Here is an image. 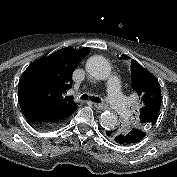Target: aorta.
Here are the masks:
<instances>
[{"mask_svg": "<svg viewBox=\"0 0 177 177\" xmlns=\"http://www.w3.org/2000/svg\"><path fill=\"white\" fill-rule=\"evenodd\" d=\"M86 71L97 80H106L111 74V66L102 56H91L86 62ZM100 124L104 129H113L117 124L114 112L105 111L100 116Z\"/></svg>", "mask_w": 177, "mask_h": 177, "instance_id": "obj_1", "label": "aorta"}]
</instances>
